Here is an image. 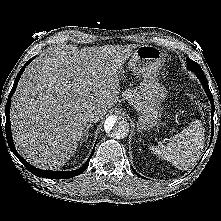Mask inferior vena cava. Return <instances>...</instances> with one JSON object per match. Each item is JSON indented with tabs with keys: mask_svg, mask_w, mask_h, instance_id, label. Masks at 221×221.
<instances>
[{
	"mask_svg": "<svg viewBox=\"0 0 221 221\" xmlns=\"http://www.w3.org/2000/svg\"><path fill=\"white\" fill-rule=\"evenodd\" d=\"M104 115H105V113L102 112V111L92 112V113L88 114L87 121L90 122V123H96V122H98Z\"/></svg>",
	"mask_w": 221,
	"mask_h": 221,
	"instance_id": "inferior-vena-cava-1",
	"label": "inferior vena cava"
}]
</instances>
